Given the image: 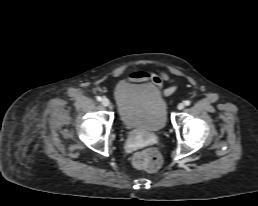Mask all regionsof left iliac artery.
Masks as SVG:
<instances>
[{"mask_svg": "<svg viewBox=\"0 0 258 206\" xmlns=\"http://www.w3.org/2000/svg\"><path fill=\"white\" fill-rule=\"evenodd\" d=\"M184 103L186 106H189L191 102L189 100H186V101H184Z\"/></svg>", "mask_w": 258, "mask_h": 206, "instance_id": "left-iliac-artery-1", "label": "left iliac artery"}]
</instances>
